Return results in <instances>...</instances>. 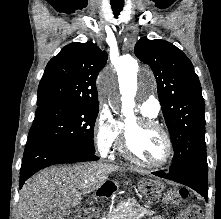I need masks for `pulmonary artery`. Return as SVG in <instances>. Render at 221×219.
Segmentation results:
<instances>
[{
    "mask_svg": "<svg viewBox=\"0 0 221 219\" xmlns=\"http://www.w3.org/2000/svg\"><path fill=\"white\" fill-rule=\"evenodd\" d=\"M141 112L155 117L160 111V103L154 96H149L140 107Z\"/></svg>",
    "mask_w": 221,
    "mask_h": 219,
    "instance_id": "pulmonary-artery-1",
    "label": "pulmonary artery"
}]
</instances>
